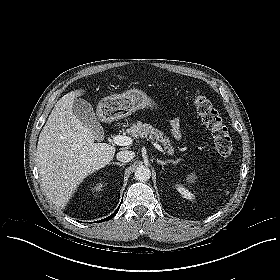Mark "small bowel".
I'll return each mask as SVG.
<instances>
[{
    "instance_id": "small-bowel-1",
    "label": "small bowel",
    "mask_w": 280,
    "mask_h": 280,
    "mask_svg": "<svg viewBox=\"0 0 280 280\" xmlns=\"http://www.w3.org/2000/svg\"><path fill=\"white\" fill-rule=\"evenodd\" d=\"M171 131L176 139L181 138L179 119L174 118L170 121Z\"/></svg>"
}]
</instances>
